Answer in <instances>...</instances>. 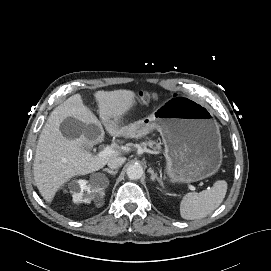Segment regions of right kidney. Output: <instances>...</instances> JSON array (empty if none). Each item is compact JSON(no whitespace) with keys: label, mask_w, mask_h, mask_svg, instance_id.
<instances>
[{"label":"right kidney","mask_w":271,"mask_h":271,"mask_svg":"<svg viewBox=\"0 0 271 271\" xmlns=\"http://www.w3.org/2000/svg\"><path fill=\"white\" fill-rule=\"evenodd\" d=\"M73 201L77 203L85 202L90 203L98 196H103L104 188L96 183H88L86 180H75L69 184ZM84 191H87V196H84Z\"/></svg>","instance_id":"ca27d5eb"}]
</instances>
